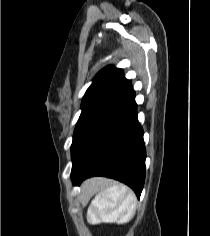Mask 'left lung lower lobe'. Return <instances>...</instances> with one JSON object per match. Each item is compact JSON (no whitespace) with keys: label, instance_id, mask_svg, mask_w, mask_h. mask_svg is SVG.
<instances>
[{"label":"left lung lower lobe","instance_id":"obj_1","mask_svg":"<svg viewBox=\"0 0 210 236\" xmlns=\"http://www.w3.org/2000/svg\"><path fill=\"white\" fill-rule=\"evenodd\" d=\"M136 109L131 85L80 132L71 146L74 185L105 176L127 184L140 197L146 152Z\"/></svg>","mask_w":210,"mask_h":236}]
</instances>
